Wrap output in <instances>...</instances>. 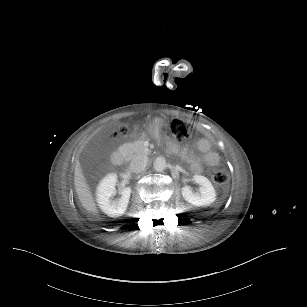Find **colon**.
Segmentation results:
<instances>
[{"label":"colon","mask_w":307,"mask_h":307,"mask_svg":"<svg viewBox=\"0 0 307 307\" xmlns=\"http://www.w3.org/2000/svg\"><path fill=\"white\" fill-rule=\"evenodd\" d=\"M170 131L176 141L181 145H188L193 138V129L191 125L180 118H173L170 122ZM126 133L124 126H119L114 130L115 136H121ZM212 180L219 184L225 185L228 180V174L221 166H215L210 170Z\"/></svg>","instance_id":"5ec220e1"}]
</instances>
